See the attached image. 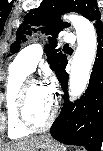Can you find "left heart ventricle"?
Returning <instances> with one entry per match:
<instances>
[{"label":"left heart ventricle","mask_w":103,"mask_h":151,"mask_svg":"<svg viewBox=\"0 0 103 151\" xmlns=\"http://www.w3.org/2000/svg\"><path fill=\"white\" fill-rule=\"evenodd\" d=\"M52 109V96L44 86L32 84L27 94V117L29 121L41 126L47 120Z\"/></svg>","instance_id":"left-heart-ventricle-1"}]
</instances>
